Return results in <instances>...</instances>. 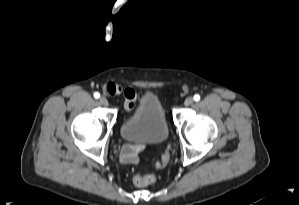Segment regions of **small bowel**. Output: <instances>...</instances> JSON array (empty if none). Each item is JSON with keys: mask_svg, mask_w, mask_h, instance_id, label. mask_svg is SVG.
I'll return each instance as SVG.
<instances>
[{"mask_svg": "<svg viewBox=\"0 0 299 205\" xmlns=\"http://www.w3.org/2000/svg\"><path fill=\"white\" fill-rule=\"evenodd\" d=\"M108 93L112 95L123 93L125 97V109L128 113H131L141 97V94H138L132 88L123 89L117 84H108L107 85ZM142 147V145H128L124 144L121 149V160L125 163H135L137 160V152Z\"/></svg>", "mask_w": 299, "mask_h": 205, "instance_id": "1", "label": "small bowel"}]
</instances>
